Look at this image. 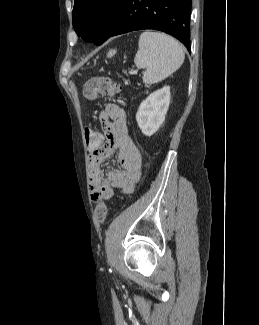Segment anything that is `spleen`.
I'll list each match as a JSON object with an SVG mask.
<instances>
[{
    "label": "spleen",
    "instance_id": "1",
    "mask_svg": "<svg viewBox=\"0 0 259 325\" xmlns=\"http://www.w3.org/2000/svg\"><path fill=\"white\" fill-rule=\"evenodd\" d=\"M134 58L137 68H145L143 82L151 85L174 73L184 62V52L173 37L160 32L145 31L139 37Z\"/></svg>",
    "mask_w": 259,
    "mask_h": 325
}]
</instances>
